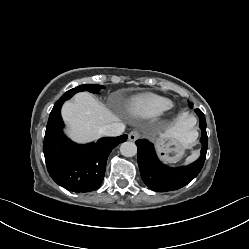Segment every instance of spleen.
<instances>
[{
	"mask_svg": "<svg viewBox=\"0 0 249 249\" xmlns=\"http://www.w3.org/2000/svg\"><path fill=\"white\" fill-rule=\"evenodd\" d=\"M198 157H199V152H198V151H194L190 156H188V157L186 158L185 164L192 163V162L195 161Z\"/></svg>",
	"mask_w": 249,
	"mask_h": 249,
	"instance_id": "obj_1",
	"label": "spleen"
}]
</instances>
